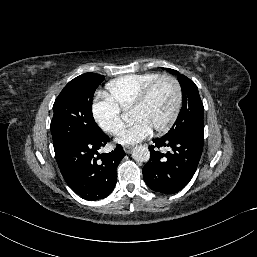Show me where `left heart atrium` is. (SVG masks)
<instances>
[{
	"label": "left heart atrium",
	"mask_w": 257,
	"mask_h": 257,
	"mask_svg": "<svg viewBox=\"0 0 257 257\" xmlns=\"http://www.w3.org/2000/svg\"><path fill=\"white\" fill-rule=\"evenodd\" d=\"M152 132V128L144 121L137 120L133 125L124 129L116 141L123 145H132L143 141Z\"/></svg>",
	"instance_id": "left-heart-atrium-1"
}]
</instances>
